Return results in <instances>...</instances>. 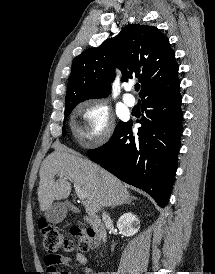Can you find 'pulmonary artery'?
<instances>
[{"instance_id":"1","label":"pulmonary artery","mask_w":215,"mask_h":274,"mask_svg":"<svg viewBox=\"0 0 215 274\" xmlns=\"http://www.w3.org/2000/svg\"><path fill=\"white\" fill-rule=\"evenodd\" d=\"M126 93L123 95V102L128 106V107H134L136 105V99L132 94H130L131 91V86L127 85L125 87Z\"/></svg>"}]
</instances>
